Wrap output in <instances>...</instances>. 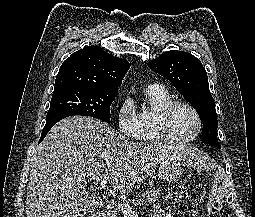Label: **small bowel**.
I'll use <instances>...</instances> for the list:
<instances>
[{
	"mask_svg": "<svg viewBox=\"0 0 255 217\" xmlns=\"http://www.w3.org/2000/svg\"><path fill=\"white\" fill-rule=\"evenodd\" d=\"M209 212L213 213L210 209ZM151 217H174V216L170 213H164L159 206L154 205L151 208Z\"/></svg>",
	"mask_w": 255,
	"mask_h": 217,
	"instance_id": "1",
	"label": "small bowel"
}]
</instances>
